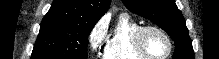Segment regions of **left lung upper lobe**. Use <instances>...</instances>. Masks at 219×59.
Instances as JSON below:
<instances>
[{"label":"left lung upper lobe","instance_id":"5c2ea615","mask_svg":"<svg viewBox=\"0 0 219 59\" xmlns=\"http://www.w3.org/2000/svg\"><path fill=\"white\" fill-rule=\"evenodd\" d=\"M126 8L161 27L174 40L173 59H194L185 19L175 0H122Z\"/></svg>","mask_w":219,"mask_h":59}]
</instances>
